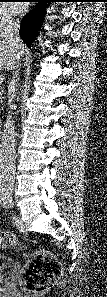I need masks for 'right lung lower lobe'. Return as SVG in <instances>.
<instances>
[{
	"label": "right lung lower lobe",
	"instance_id": "obj_1",
	"mask_svg": "<svg viewBox=\"0 0 107 297\" xmlns=\"http://www.w3.org/2000/svg\"><path fill=\"white\" fill-rule=\"evenodd\" d=\"M39 4L37 8L28 14L20 27V36L27 46H30L44 17V7L46 3L57 0H36Z\"/></svg>",
	"mask_w": 107,
	"mask_h": 297
}]
</instances>
